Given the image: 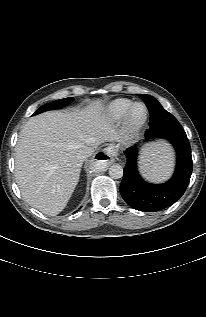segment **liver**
Wrapping results in <instances>:
<instances>
[{
    "label": "liver",
    "instance_id": "6515ba94",
    "mask_svg": "<svg viewBox=\"0 0 206 317\" xmlns=\"http://www.w3.org/2000/svg\"><path fill=\"white\" fill-rule=\"evenodd\" d=\"M104 109L97 100L81 111H48L26 122L16 145L15 178L28 204L50 216L66 207L83 164L79 150L119 139Z\"/></svg>",
    "mask_w": 206,
    "mask_h": 317
}]
</instances>
